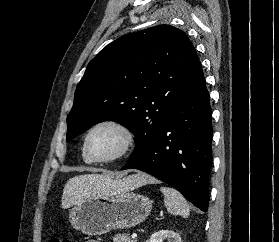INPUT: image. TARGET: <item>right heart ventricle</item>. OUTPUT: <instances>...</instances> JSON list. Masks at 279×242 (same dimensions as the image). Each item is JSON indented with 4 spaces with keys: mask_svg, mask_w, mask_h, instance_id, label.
Here are the masks:
<instances>
[{
    "mask_svg": "<svg viewBox=\"0 0 279 242\" xmlns=\"http://www.w3.org/2000/svg\"><path fill=\"white\" fill-rule=\"evenodd\" d=\"M82 158L84 160L85 163H90V161L88 160V158L85 156L84 152H82Z\"/></svg>",
    "mask_w": 279,
    "mask_h": 242,
    "instance_id": "obj_1",
    "label": "right heart ventricle"
}]
</instances>
